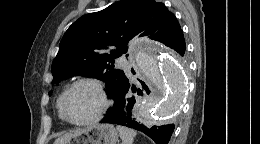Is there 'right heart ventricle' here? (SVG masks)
I'll return each instance as SVG.
<instances>
[{
    "instance_id": "e07e8e85",
    "label": "right heart ventricle",
    "mask_w": 260,
    "mask_h": 144,
    "mask_svg": "<svg viewBox=\"0 0 260 144\" xmlns=\"http://www.w3.org/2000/svg\"><path fill=\"white\" fill-rule=\"evenodd\" d=\"M68 89V86H66L63 91L60 93V95L58 96L57 98V102H56V107H57V111H58V116L61 120H63V117H62V114H61V110H60V105H61V100H62V97L65 93V91Z\"/></svg>"
}]
</instances>
